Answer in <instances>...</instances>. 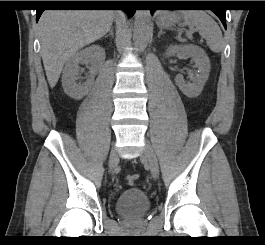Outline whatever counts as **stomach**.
Listing matches in <instances>:
<instances>
[{
    "mask_svg": "<svg viewBox=\"0 0 265 245\" xmlns=\"http://www.w3.org/2000/svg\"><path fill=\"white\" fill-rule=\"evenodd\" d=\"M180 21V16L176 13H163L158 18V25L163 28L174 26Z\"/></svg>",
    "mask_w": 265,
    "mask_h": 245,
    "instance_id": "0dacf381",
    "label": "stomach"
}]
</instances>
